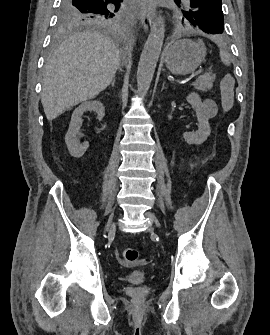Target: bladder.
Wrapping results in <instances>:
<instances>
[{"label":"bladder","mask_w":270,"mask_h":335,"mask_svg":"<svg viewBox=\"0 0 270 335\" xmlns=\"http://www.w3.org/2000/svg\"><path fill=\"white\" fill-rule=\"evenodd\" d=\"M127 280L132 283V286L141 284L146 278L145 269H136L128 271L126 275Z\"/></svg>","instance_id":"obj_1"}]
</instances>
